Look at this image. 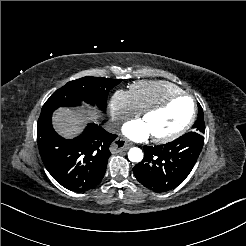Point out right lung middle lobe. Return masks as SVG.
<instances>
[{"label": "right lung middle lobe", "mask_w": 246, "mask_h": 246, "mask_svg": "<svg viewBox=\"0 0 246 246\" xmlns=\"http://www.w3.org/2000/svg\"><path fill=\"white\" fill-rule=\"evenodd\" d=\"M122 79H108L86 76L55 91L43 105L41 113L53 112L59 107L80 106L86 102L105 111L109 91Z\"/></svg>", "instance_id": "1"}]
</instances>
